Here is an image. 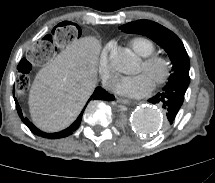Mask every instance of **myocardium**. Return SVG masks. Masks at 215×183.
Segmentation results:
<instances>
[{
	"label": "myocardium",
	"instance_id": "f54148a6",
	"mask_svg": "<svg viewBox=\"0 0 215 183\" xmlns=\"http://www.w3.org/2000/svg\"><path fill=\"white\" fill-rule=\"evenodd\" d=\"M142 64L145 70L148 71L157 68L160 69L159 75L153 80V84L155 86L163 85L169 80L172 73V64L167 57L158 53H152L143 58Z\"/></svg>",
	"mask_w": 215,
	"mask_h": 183
}]
</instances>
